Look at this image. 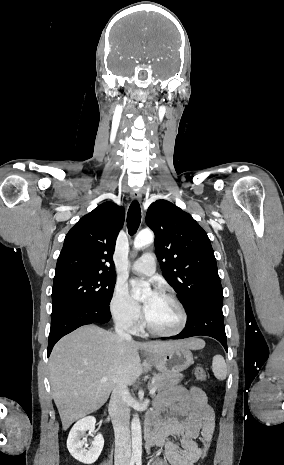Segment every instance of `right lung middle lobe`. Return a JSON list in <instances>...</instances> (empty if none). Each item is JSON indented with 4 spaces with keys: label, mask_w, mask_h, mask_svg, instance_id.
<instances>
[{
    "label": "right lung middle lobe",
    "mask_w": 284,
    "mask_h": 465,
    "mask_svg": "<svg viewBox=\"0 0 284 465\" xmlns=\"http://www.w3.org/2000/svg\"><path fill=\"white\" fill-rule=\"evenodd\" d=\"M116 276L72 274L54 279L52 313L75 303L109 306Z\"/></svg>",
    "instance_id": "obj_1"
}]
</instances>
